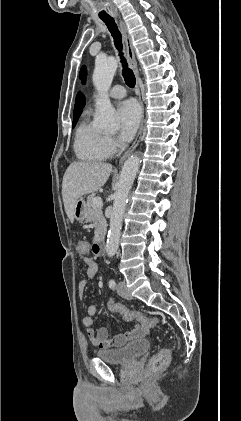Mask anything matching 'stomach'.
Returning <instances> with one entry per match:
<instances>
[{
	"label": "stomach",
	"mask_w": 241,
	"mask_h": 421,
	"mask_svg": "<svg viewBox=\"0 0 241 421\" xmlns=\"http://www.w3.org/2000/svg\"><path fill=\"white\" fill-rule=\"evenodd\" d=\"M87 216L86 202L80 198L77 200L74 208L73 217L79 222H83Z\"/></svg>",
	"instance_id": "obj_1"
}]
</instances>
